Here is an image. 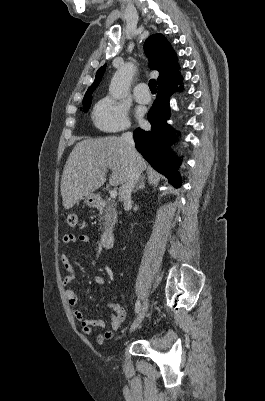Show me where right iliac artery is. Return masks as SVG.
<instances>
[{"mask_svg": "<svg viewBox=\"0 0 265 401\" xmlns=\"http://www.w3.org/2000/svg\"><path fill=\"white\" fill-rule=\"evenodd\" d=\"M140 307H141V303H140V301H139V300H137V302H136V304H135V311H136V313H138V312H139V310H140Z\"/></svg>", "mask_w": 265, "mask_h": 401, "instance_id": "obj_1", "label": "right iliac artery"}]
</instances>
